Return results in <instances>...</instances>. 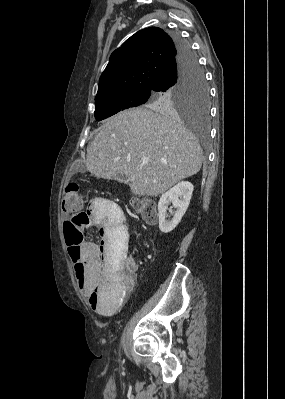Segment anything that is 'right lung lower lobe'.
<instances>
[{"label": "right lung lower lobe", "instance_id": "right-lung-lower-lobe-1", "mask_svg": "<svg viewBox=\"0 0 285 399\" xmlns=\"http://www.w3.org/2000/svg\"><path fill=\"white\" fill-rule=\"evenodd\" d=\"M173 40L177 56L160 73L152 87L153 91H163L176 85L185 71L197 62L190 46L186 42L178 35H175Z\"/></svg>", "mask_w": 285, "mask_h": 399}]
</instances>
